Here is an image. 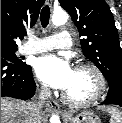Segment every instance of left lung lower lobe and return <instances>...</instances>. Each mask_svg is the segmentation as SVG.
I'll return each mask as SVG.
<instances>
[{
  "label": "left lung lower lobe",
  "mask_w": 122,
  "mask_h": 123,
  "mask_svg": "<svg viewBox=\"0 0 122 123\" xmlns=\"http://www.w3.org/2000/svg\"><path fill=\"white\" fill-rule=\"evenodd\" d=\"M109 86L107 97L102 104H116L122 107V80H118Z\"/></svg>",
  "instance_id": "left-lung-lower-lobe-1"
}]
</instances>
